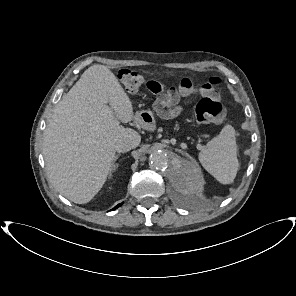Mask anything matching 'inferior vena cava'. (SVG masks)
Returning a JSON list of instances; mask_svg holds the SVG:
<instances>
[{"mask_svg": "<svg viewBox=\"0 0 296 296\" xmlns=\"http://www.w3.org/2000/svg\"><path fill=\"white\" fill-rule=\"evenodd\" d=\"M132 148H134L133 143L130 140H126V139L120 140L115 144V150L117 152H127Z\"/></svg>", "mask_w": 296, "mask_h": 296, "instance_id": "inferior-vena-cava-1", "label": "inferior vena cava"}]
</instances>
